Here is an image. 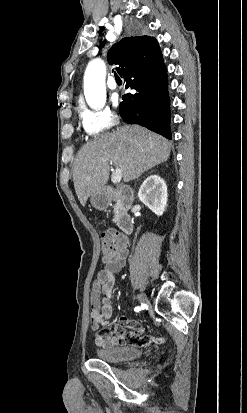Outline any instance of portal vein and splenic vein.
<instances>
[{
  "label": "portal vein and splenic vein",
  "mask_w": 247,
  "mask_h": 413,
  "mask_svg": "<svg viewBox=\"0 0 247 413\" xmlns=\"http://www.w3.org/2000/svg\"><path fill=\"white\" fill-rule=\"evenodd\" d=\"M107 158H103V162H106ZM110 162H113V160H110ZM122 178V170L121 168H115L112 172L111 180L112 182H120Z\"/></svg>",
  "instance_id": "18ae733b"
}]
</instances>
